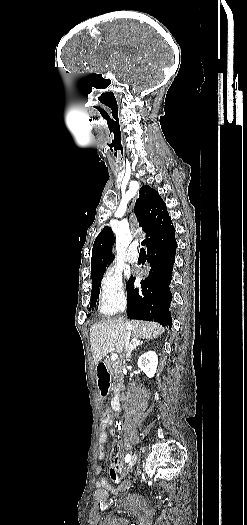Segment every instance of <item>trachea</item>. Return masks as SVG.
Returning a JSON list of instances; mask_svg holds the SVG:
<instances>
[{
  "instance_id": "obj_1",
  "label": "trachea",
  "mask_w": 247,
  "mask_h": 525,
  "mask_svg": "<svg viewBox=\"0 0 247 525\" xmlns=\"http://www.w3.org/2000/svg\"><path fill=\"white\" fill-rule=\"evenodd\" d=\"M145 244H146V240H142V242H141L142 248L140 249V253H145V249H144V245Z\"/></svg>"
}]
</instances>
